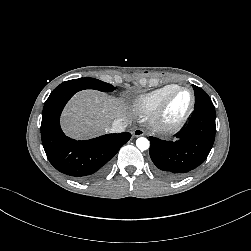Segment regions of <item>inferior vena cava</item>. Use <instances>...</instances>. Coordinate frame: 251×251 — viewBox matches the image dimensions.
I'll use <instances>...</instances> for the list:
<instances>
[{
	"label": "inferior vena cava",
	"instance_id": "1",
	"mask_svg": "<svg viewBox=\"0 0 251 251\" xmlns=\"http://www.w3.org/2000/svg\"><path fill=\"white\" fill-rule=\"evenodd\" d=\"M128 126V121L124 119H117L112 123L110 131L113 133H121L124 132L126 127Z\"/></svg>",
	"mask_w": 251,
	"mask_h": 251
}]
</instances>
